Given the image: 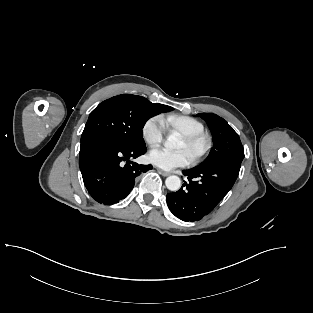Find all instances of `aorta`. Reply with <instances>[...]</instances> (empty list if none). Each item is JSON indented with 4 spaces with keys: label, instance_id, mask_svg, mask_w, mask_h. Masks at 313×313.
I'll return each instance as SVG.
<instances>
[{
    "label": "aorta",
    "instance_id": "1",
    "mask_svg": "<svg viewBox=\"0 0 313 313\" xmlns=\"http://www.w3.org/2000/svg\"><path fill=\"white\" fill-rule=\"evenodd\" d=\"M179 143V138L176 134H170L165 141V147L168 149H174ZM166 187L170 191H177L181 187V180L178 176L172 175L165 180Z\"/></svg>",
    "mask_w": 313,
    "mask_h": 313
}]
</instances>
